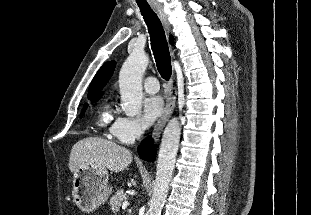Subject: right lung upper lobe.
Returning <instances> with one entry per match:
<instances>
[{"instance_id": "right-lung-upper-lobe-1", "label": "right lung upper lobe", "mask_w": 311, "mask_h": 215, "mask_svg": "<svg viewBox=\"0 0 311 215\" xmlns=\"http://www.w3.org/2000/svg\"><path fill=\"white\" fill-rule=\"evenodd\" d=\"M170 42L173 44V38L170 36ZM115 68V63L107 62L102 65V67L98 70L95 77L93 78L89 90H88V98H97L102 96V92L100 90L105 86L107 81L110 79Z\"/></svg>"}]
</instances>
